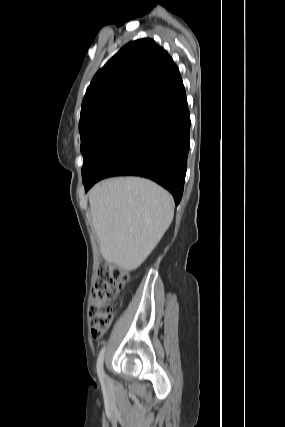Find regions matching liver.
Listing matches in <instances>:
<instances>
[{
    "instance_id": "6515ba94",
    "label": "liver",
    "mask_w": 285,
    "mask_h": 427,
    "mask_svg": "<svg viewBox=\"0 0 285 427\" xmlns=\"http://www.w3.org/2000/svg\"><path fill=\"white\" fill-rule=\"evenodd\" d=\"M89 203L103 258L126 269L146 259L174 216L172 196L139 177L97 183L89 192Z\"/></svg>"
}]
</instances>
